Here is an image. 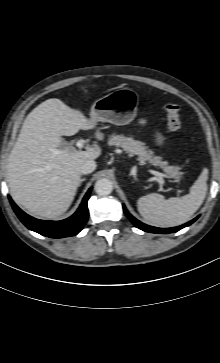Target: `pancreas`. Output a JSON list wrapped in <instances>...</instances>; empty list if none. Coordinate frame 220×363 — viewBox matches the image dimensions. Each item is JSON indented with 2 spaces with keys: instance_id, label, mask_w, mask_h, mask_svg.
Listing matches in <instances>:
<instances>
[{
  "instance_id": "cf45deb5",
  "label": "pancreas",
  "mask_w": 220,
  "mask_h": 363,
  "mask_svg": "<svg viewBox=\"0 0 220 363\" xmlns=\"http://www.w3.org/2000/svg\"><path fill=\"white\" fill-rule=\"evenodd\" d=\"M110 146L121 147L123 150L128 153L130 157L137 155V160L141 165L149 162L152 165L159 166L163 168V170L170 175L171 177L179 180L182 176V173L179 172L178 166H170L167 162L162 161L161 157L154 156L151 150H148L147 147L144 146L143 142L136 141L133 138L125 137L123 135H111L108 141Z\"/></svg>"
}]
</instances>
